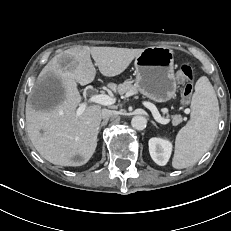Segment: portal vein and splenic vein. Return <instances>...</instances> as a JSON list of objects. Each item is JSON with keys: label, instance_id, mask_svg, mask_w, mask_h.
I'll use <instances>...</instances> for the list:
<instances>
[{"label": "portal vein and splenic vein", "instance_id": "portal-vein-and-splenic-vein-1", "mask_svg": "<svg viewBox=\"0 0 231 231\" xmlns=\"http://www.w3.org/2000/svg\"><path fill=\"white\" fill-rule=\"evenodd\" d=\"M89 103L101 104L104 106L112 105L115 103V99L106 95V94H94L88 100L79 104V107L76 110V116L79 117L85 111ZM144 105L152 112L154 119L160 124H168L170 119H164L159 114L156 106L150 102H145Z\"/></svg>", "mask_w": 231, "mask_h": 231}]
</instances>
